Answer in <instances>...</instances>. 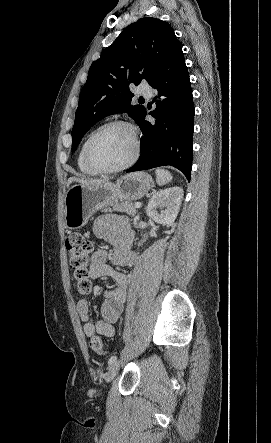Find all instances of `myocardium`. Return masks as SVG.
Wrapping results in <instances>:
<instances>
[{
    "mask_svg": "<svg viewBox=\"0 0 271 443\" xmlns=\"http://www.w3.org/2000/svg\"><path fill=\"white\" fill-rule=\"evenodd\" d=\"M124 127L126 129L129 130L131 136H132V140H133V151L131 156L128 158L127 161H125L123 164L116 166V167H103L101 165H99L98 163L95 162V160L92 157V148L93 145L95 144V142L97 141V139L109 128L112 127ZM141 139H140V135L139 132L137 130V128L124 120H112L109 121L105 124H103L102 126H100L94 133L93 135L90 137V139L88 140L85 150H84V159L85 162L87 163V165L92 168L93 170H95L98 173L101 174H111V173H117L120 171H123L127 168H129L131 165H133L135 163V161L139 158L140 153H141Z\"/></svg>",
    "mask_w": 271,
    "mask_h": 443,
    "instance_id": "f54148a6",
    "label": "myocardium"
}]
</instances>
